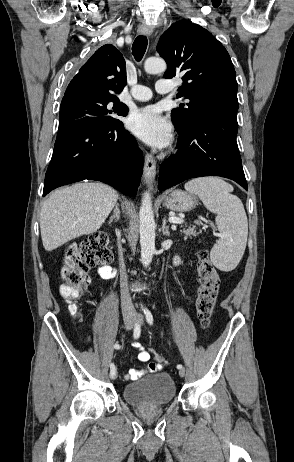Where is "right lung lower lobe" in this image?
Masks as SVG:
<instances>
[{"label": "right lung lower lobe", "instance_id": "1", "mask_svg": "<svg viewBox=\"0 0 294 462\" xmlns=\"http://www.w3.org/2000/svg\"><path fill=\"white\" fill-rule=\"evenodd\" d=\"M143 156L121 121L58 132L45 175L43 196L81 180H98L135 196L143 172Z\"/></svg>", "mask_w": 294, "mask_h": 462}]
</instances>
